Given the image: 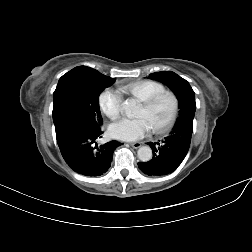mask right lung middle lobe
<instances>
[{"label": "right lung middle lobe", "instance_id": "obj_1", "mask_svg": "<svg viewBox=\"0 0 252 252\" xmlns=\"http://www.w3.org/2000/svg\"><path fill=\"white\" fill-rule=\"evenodd\" d=\"M115 79L100 72L63 75L53 94V121L55 128L76 123L98 128L103 120L99 108V95Z\"/></svg>", "mask_w": 252, "mask_h": 252}]
</instances>
